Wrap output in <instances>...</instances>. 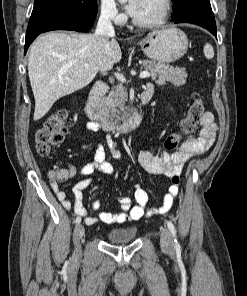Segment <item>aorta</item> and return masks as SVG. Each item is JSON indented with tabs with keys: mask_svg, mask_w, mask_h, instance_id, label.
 I'll list each match as a JSON object with an SVG mask.
<instances>
[{
	"mask_svg": "<svg viewBox=\"0 0 247 296\" xmlns=\"http://www.w3.org/2000/svg\"><path fill=\"white\" fill-rule=\"evenodd\" d=\"M120 2H125L126 0H119Z\"/></svg>",
	"mask_w": 247,
	"mask_h": 296,
	"instance_id": "aorta-1",
	"label": "aorta"
}]
</instances>
